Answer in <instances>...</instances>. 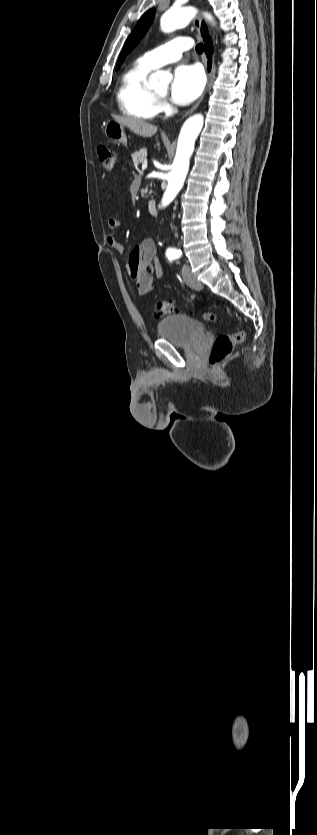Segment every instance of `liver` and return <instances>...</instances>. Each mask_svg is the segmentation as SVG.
Segmentation results:
<instances>
[{"label":"liver","mask_w":317,"mask_h":835,"mask_svg":"<svg viewBox=\"0 0 317 835\" xmlns=\"http://www.w3.org/2000/svg\"><path fill=\"white\" fill-rule=\"evenodd\" d=\"M115 121L127 126L134 134L141 137H151L157 132V127L140 119L115 117Z\"/></svg>","instance_id":"obj_1"}]
</instances>
